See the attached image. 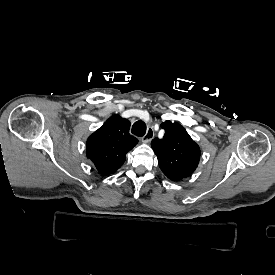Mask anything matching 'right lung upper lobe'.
<instances>
[{"label":"right lung upper lobe","mask_w":275,"mask_h":275,"mask_svg":"<svg viewBox=\"0 0 275 275\" xmlns=\"http://www.w3.org/2000/svg\"><path fill=\"white\" fill-rule=\"evenodd\" d=\"M130 122L119 115L111 116L87 140V157L102 175L116 172L125 162L126 153L138 139L130 135Z\"/></svg>","instance_id":"right-lung-upper-lobe-1"}]
</instances>
